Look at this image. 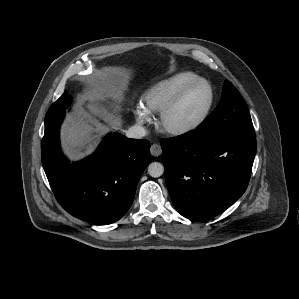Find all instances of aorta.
<instances>
[{"label": "aorta", "mask_w": 299, "mask_h": 299, "mask_svg": "<svg viewBox=\"0 0 299 299\" xmlns=\"http://www.w3.org/2000/svg\"><path fill=\"white\" fill-rule=\"evenodd\" d=\"M148 173L151 177H160L164 173V166L159 162H152L148 166Z\"/></svg>", "instance_id": "obj_1"}]
</instances>
